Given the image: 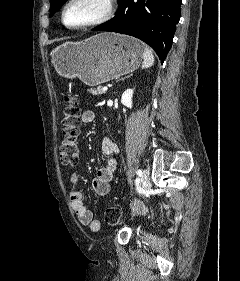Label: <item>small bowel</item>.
<instances>
[{
    "instance_id": "small-bowel-1",
    "label": "small bowel",
    "mask_w": 240,
    "mask_h": 281,
    "mask_svg": "<svg viewBox=\"0 0 240 281\" xmlns=\"http://www.w3.org/2000/svg\"><path fill=\"white\" fill-rule=\"evenodd\" d=\"M95 118L96 114L92 110H86L81 115V120L85 124L92 123ZM102 151L106 156V162L97 170L92 181L93 191L99 196H105L110 192V182L116 169V160L114 155L117 153L118 149L116 144L110 138L104 137L102 140ZM70 182L72 185V189L70 191L71 205L80 223L87 226L91 231L95 232L99 230V221L94 219L92 212L86 207L82 192L77 189L79 182V176L77 173L71 174Z\"/></svg>"
}]
</instances>
